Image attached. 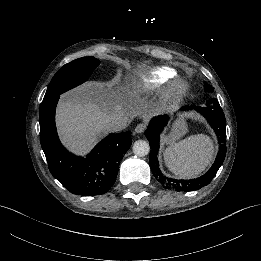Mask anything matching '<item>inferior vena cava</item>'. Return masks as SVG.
Returning a JSON list of instances; mask_svg holds the SVG:
<instances>
[{"label":"inferior vena cava","mask_w":261,"mask_h":261,"mask_svg":"<svg viewBox=\"0 0 261 261\" xmlns=\"http://www.w3.org/2000/svg\"><path fill=\"white\" fill-rule=\"evenodd\" d=\"M128 118L123 116L116 117L113 121L108 124V128L111 131H120L126 128Z\"/></svg>","instance_id":"1"}]
</instances>
